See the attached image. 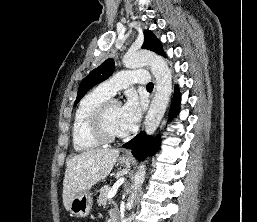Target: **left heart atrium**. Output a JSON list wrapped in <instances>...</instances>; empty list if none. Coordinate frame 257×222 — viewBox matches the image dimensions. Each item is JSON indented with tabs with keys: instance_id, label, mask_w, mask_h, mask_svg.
<instances>
[{
	"instance_id": "1",
	"label": "left heart atrium",
	"mask_w": 257,
	"mask_h": 222,
	"mask_svg": "<svg viewBox=\"0 0 257 222\" xmlns=\"http://www.w3.org/2000/svg\"><path fill=\"white\" fill-rule=\"evenodd\" d=\"M143 104L136 95H129L121 107L120 130L129 134L136 129L142 115Z\"/></svg>"
}]
</instances>
